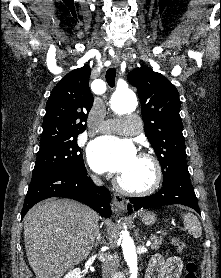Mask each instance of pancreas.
<instances>
[{
	"instance_id": "cf45deb5",
	"label": "pancreas",
	"mask_w": 221,
	"mask_h": 278,
	"mask_svg": "<svg viewBox=\"0 0 221 278\" xmlns=\"http://www.w3.org/2000/svg\"><path fill=\"white\" fill-rule=\"evenodd\" d=\"M151 240H152L151 249H152V250H158L159 247H160V245H161L162 242H163V238H162V237L155 236V235H152V236H151Z\"/></svg>"
}]
</instances>
